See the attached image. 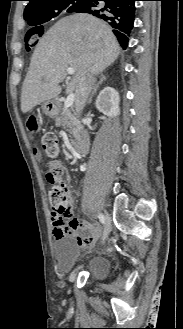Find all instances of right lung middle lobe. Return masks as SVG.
<instances>
[{"label": "right lung middle lobe", "mask_w": 183, "mask_h": 329, "mask_svg": "<svg viewBox=\"0 0 183 329\" xmlns=\"http://www.w3.org/2000/svg\"><path fill=\"white\" fill-rule=\"evenodd\" d=\"M82 1L83 0H63L53 4L51 9L45 14L33 16V17H27L24 19L28 21L29 25L36 26L34 27L33 34L39 33L41 35L43 32L41 24L58 16L60 13L76 11L82 4Z\"/></svg>", "instance_id": "obj_1"}]
</instances>
